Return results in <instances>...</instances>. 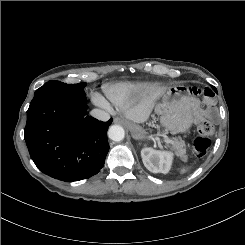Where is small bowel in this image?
<instances>
[{
  "mask_svg": "<svg viewBox=\"0 0 245 245\" xmlns=\"http://www.w3.org/2000/svg\"><path fill=\"white\" fill-rule=\"evenodd\" d=\"M188 95L193 100L204 102L208 107H214L219 102V96L214 89L200 85L191 86L188 90ZM200 118L201 116L199 115L198 119Z\"/></svg>",
  "mask_w": 245,
  "mask_h": 245,
  "instance_id": "1",
  "label": "small bowel"
}]
</instances>
